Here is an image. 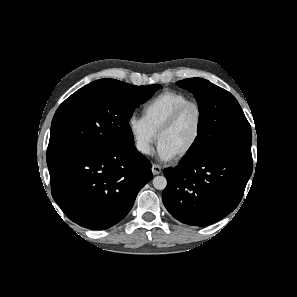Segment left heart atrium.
Segmentation results:
<instances>
[{
    "label": "left heart atrium",
    "mask_w": 297,
    "mask_h": 297,
    "mask_svg": "<svg viewBox=\"0 0 297 297\" xmlns=\"http://www.w3.org/2000/svg\"><path fill=\"white\" fill-rule=\"evenodd\" d=\"M175 153L169 149L164 143L159 142L157 146V157L161 161H170L175 157Z\"/></svg>",
    "instance_id": "left-heart-atrium-1"
}]
</instances>
